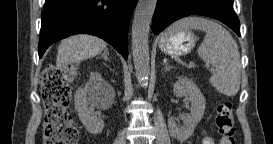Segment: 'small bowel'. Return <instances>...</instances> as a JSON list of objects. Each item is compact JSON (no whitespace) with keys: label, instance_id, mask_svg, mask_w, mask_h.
<instances>
[{"label":"small bowel","instance_id":"small-bowel-1","mask_svg":"<svg viewBox=\"0 0 273 144\" xmlns=\"http://www.w3.org/2000/svg\"><path fill=\"white\" fill-rule=\"evenodd\" d=\"M203 144H214V139L211 136L206 135L203 139Z\"/></svg>","mask_w":273,"mask_h":144}]
</instances>
